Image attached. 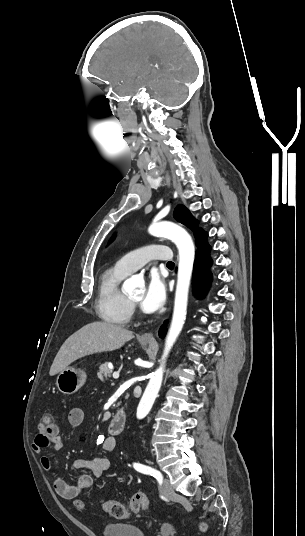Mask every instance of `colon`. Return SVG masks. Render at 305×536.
Segmentation results:
<instances>
[{
    "label": "colon",
    "mask_w": 305,
    "mask_h": 536,
    "mask_svg": "<svg viewBox=\"0 0 305 536\" xmlns=\"http://www.w3.org/2000/svg\"><path fill=\"white\" fill-rule=\"evenodd\" d=\"M42 423H43V426H52L53 424L52 414L45 413L44 416L42 417ZM71 504L73 506H76L78 511L81 513H84L87 511V504L84 502H81L78 497H73L71 499ZM102 509L105 513L109 514L115 519L121 520L123 518L128 517L131 514H134L140 511H148L150 509V504L145 493L135 492L131 497L129 506H125L123 503H121L118 500L107 499L103 501ZM198 526L202 530L205 529V523L202 521L198 522Z\"/></svg>",
    "instance_id": "obj_1"
}]
</instances>
